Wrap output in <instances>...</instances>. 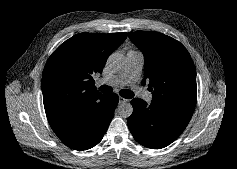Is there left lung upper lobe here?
Here are the masks:
<instances>
[{
  "instance_id": "obj_1",
  "label": "left lung upper lobe",
  "mask_w": 237,
  "mask_h": 169,
  "mask_svg": "<svg viewBox=\"0 0 237 169\" xmlns=\"http://www.w3.org/2000/svg\"><path fill=\"white\" fill-rule=\"evenodd\" d=\"M128 36L144 54V75L150 80L153 100L193 113L197 94L196 71L185 47L158 32L137 31Z\"/></svg>"
}]
</instances>
